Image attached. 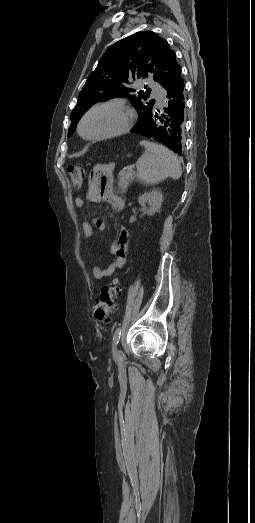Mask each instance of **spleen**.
<instances>
[{"label":"spleen","mask_w":255,"mask_h":523,"mask_svg":"<svg viewBox=\"0 0 255 523\" xmlns=\"http://www.w3.org/2000/svg\"><path fill=\"white\" fill-rule=\"evenodd\" d=\"M141 146H144L145 154L136 162V168L137 176L144 184H158L169 176L178 180L182 176L181 164L171 150L145 140Z\"/></svg>","instance_id":"obj_1"}]
</instances>
